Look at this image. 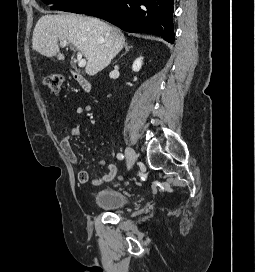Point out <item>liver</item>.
Returning <instances> with one entry per match:
<instances>
[{
  "label": "liver",
  "instance_id": "obj_1",
  "mask_svg": "<svg viewBox=\"0 0 255 272\" xmlns=\"http://www.w3.org/2000/svg\"><path fill=\"white\" fill-rule=\"evenodd\" d=\"M60 40L83 53L87 59L85 71L90 76L106 68L125 43L120 29L97 18L75 14L42 16L33 32L32 49L46 57L64 60L58 46Z\"/></svg>",
  "mask_w": 255,
  "mask_h": 272
}]
</instances>
